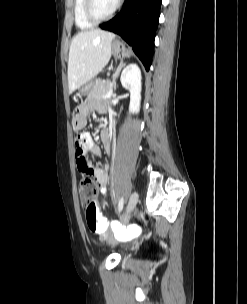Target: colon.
Returning <instances> with one entry per match:
<instances>
[{"label":"colon","instance_id":"5ec220e1","mask_svg":"<svg viewBox=\"0 0 247 304\" xmlns=\"http://www.w3.org/2000/svg\"><path fill=\"white\" fill-rule=\"evenodd\" d=\"M80 165L82 167L85 166L84 160H80ZM96 193L97 189L94 179L88 175L83 177L79 184V196L81 204L85 209L88 228L94 233L105 234L114 225L110 224L100 213L94 201ZM144 236L145 233L141 227H138V224H120V231L117 232L118 238H144Z\"/></svg>","mask_w":247,"mask_h":304}]
</instances>
